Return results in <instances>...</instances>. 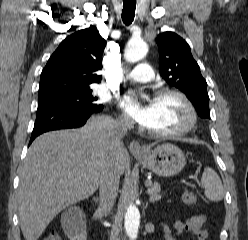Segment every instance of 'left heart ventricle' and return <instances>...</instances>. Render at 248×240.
I'll return each mask as SVG.
<instances>
[{"instance_id": "left-heart-ventricle-1", "label": "left heart ventricle", "mask_w": 248, "mask_h": 240, "mask_svg": "<svg viewBox=\"0 0 248 240\" xmlns=\"http://www.w3.org/2000/svg\"><path fill=\"white\" fill-rule=\"evenodd\" d=\"M155 117L150 130L167 132L181 128L188 120L184 103L176 96L168 95L153 99Z\"/></svg>"}]
</instances>
